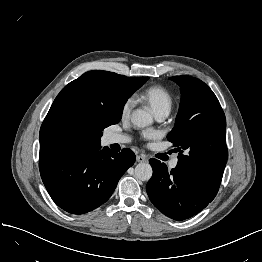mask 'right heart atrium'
I'll return each instance as SVG.
<instances>
[{"instance_id": "1", "label": "right heart atrium", "mask_w": 262, "mask_h": 262, "mask_svg": "<svg viewBox=\"0 0 262 262\" xmlns=\"http://www.w3.org/2000/svg\"><path fill=\"white\" fill-rule=\"evenodd\" d=\"M134 105V100L133 98H128L125 100V102L123 103L122 107H121V116L123 118H126L130 115V112L133 108Z\"/></svg>"}]
</instances>
